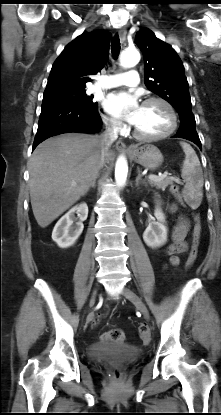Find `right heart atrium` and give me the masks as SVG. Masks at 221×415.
Segmentation results:
<instances>
[{"label": "right heart atrium", "instance_id": "d8ad5b80", "mask_svg": "<svg viewBox=\"0 0 221 415\" xmlns=\"http://www.w3.org/2000/svg\"><path fill=\"white\" fill-rule=\"evenodd\" d=\"M103 122L107 130L112 134H118L123 130L122 123L113 117L104 115Z\"/></svg>", "mask_w": 221, "mask_h": 415}]
</instances>
